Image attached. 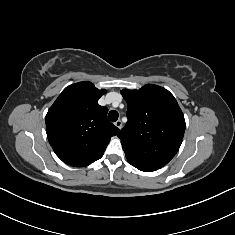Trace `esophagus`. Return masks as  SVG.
Masks as SVG:
<instances>
[{"label":"esophagus","instance_id":"esophagus-1","mask_svg":"<svg viewBox=\"0 0 235 235\" xmlns=\"http://www.w3.org/2000/svg\"><path fill=\"white\" fill-rule=\"evenodd\" d=\"M115 126H116L117 128H119V129H121V128H122V122H121V120H117V121L115 122Z\"/></svg>","mask_w":235,"mask_h":235}]
</instances>
